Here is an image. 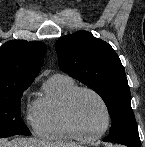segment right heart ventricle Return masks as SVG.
<instances>
[{"mask_svg":"<svg viewBox=\"0 0 145 147\" xmlns=\"http://www.w3.org/2000/svg\"><path fill=\"white\" fill-rule=\"evenodd\" d=\"M77 87L68 75L54 74L49 77L44 93L32 106V124L39 137L54 141L83 139L71 126L65 110L68 96Z\"/></svg>","mask_w":145,"mask_h":147,"instance_id":"e07e8e85","label":"right heart ventricle"}]
</instances>
